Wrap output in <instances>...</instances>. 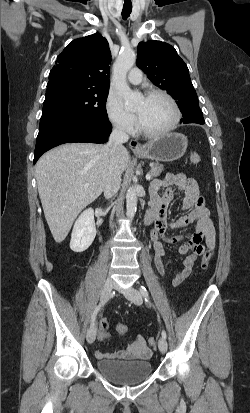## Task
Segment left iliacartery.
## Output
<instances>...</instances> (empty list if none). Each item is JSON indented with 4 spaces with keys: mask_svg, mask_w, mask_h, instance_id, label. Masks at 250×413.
Here are the masks:
<instances>
[{
    "mask_svg": "<svg viewBox=\"0 0 250 413\" xmlns=\"http://www.w3.org/2000/svg\"><path fill=\"white\" fill-rule=\"evenodd\" d=\"M139 289H140V292H141L142 296L144 297L145 301L149 302V294H148L147 289L144 286H141ZM161 334H162V337L166 339L167 334L164 330L162 331Z\"/></svg>",
    "mask_w": 250,
    "mask_h": 413,
    "instance_id": "44dca946",
    "label": "left iliac artery"
}]
</instances>
